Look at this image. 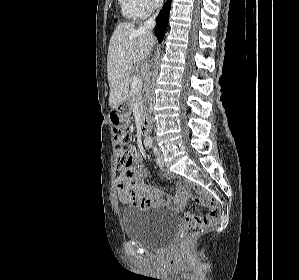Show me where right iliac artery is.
Returning a JSON list of instances; mask_svg holds the SVG:
<instances>
[{"label": "right iliac artery", "mask_w": 299, "mask_h": 280, "mask_svg": "<svg viewBox=\"0 0 299 280\" xmlns=\"http://www.w3.org/2000/svg\"><path fill=\"white\" fill-rule=\"evenodd\" d=\"M144 145L146 146V148H150L152 145V140L151 139H146L144 141Z\"/></svg>", "instance_id": "right-iliac-artery-1"}]
</instances>
